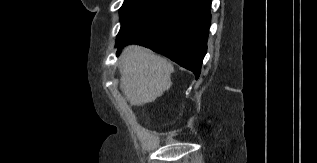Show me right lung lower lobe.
<instances>
[{
    "instance_id": "right-lung-lower-lobe-1",
    "label": "right lung lower lobe",
    "mask_w": 317,
    "mask_h": 163,
    "mask_svg": "<svg viewBox=\"0 0 317 163\" xmlns=\"http://www.w3.org/2000/svg\"><path fill=\"white\" fill-rule=\"evenodd\" d=\"M211 0H176L160 17L116 41L117 47L143 45L199 77L207 51Z\"/></svg>"
}]
</instances>
